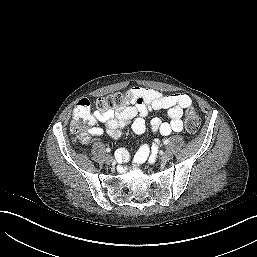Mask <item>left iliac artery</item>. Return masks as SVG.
Returning <instances> with one entry per match:
<instances>
[{
	"label": "left iliac artery",
	"instance_id": "1",
	"mask_svg": "<svg viewBox=\"0 0 257 257\" xmlns=\"http://www.w3.org/2000/svg\"><path fill=\"white\" fill-rule=\"evenodd\" d=\"M170 143V140L169 139H165L164 141H163V144H165V145H167V144H169Z\"/></svg>",
	"mask_w": 257,
	"mask_h": 257
}]
</instances>
